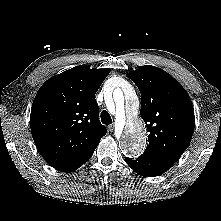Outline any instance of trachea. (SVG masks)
Listing matches in <instances>:
<instances>
[{
  "mask_svg": "<svg viewBox=\"0 0 221 221\" xmlns=\"http://www.w3.org/2000/svg\"><path fill=\"white\" fill-rule=\"evenodd\" d=\"M100 117H101V121H102L103 124L109 125V124L112 123L111 116H110V114L106 110H103L101 112Z\"/></svg>",
  "mask_w": 221,
  "mask_h": 221,
  "instance_id": "3493384b",
  "label": "trachea"
}]
</instances>
